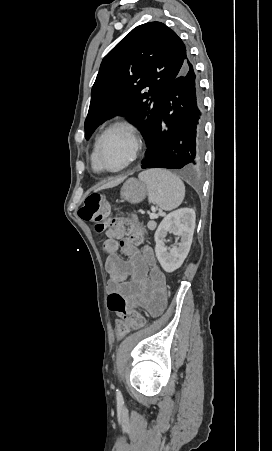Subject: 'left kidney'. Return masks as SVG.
<instances>
[{"label": "left kidney", "mask_w": 272, "mask_h": 451, "mask_svg": "<svg viewBox=\"0 0 272 451\" xmlns=\"http://www.w3.org/2000/svg\"><path fill=\"white\" fill-rule=\"evenodd\" d=\"M195 220L194 210L181 208V210H175V212L165 216L157 227L154 235L156 241L155 253L165 271H175V269L181 267L185 257H187L193 239ZM168 231L181 237L180 243H177L178 247H171L169 251H167L168 247L165 245V237Z\"/></svg>", "instance_id": "obj_1"}]
</instances>
